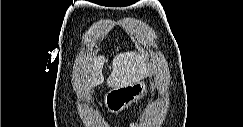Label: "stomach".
Segmentation results:
<instances>
[{
	"label": "stomach",
	"instance_id": "stomach-1",
	"mask_svg": "<svg viewBox=\"0 0 243 127\" xmlns=\"http://www.w3.org/2000/svg\"><path fill=\"white\" fill-rule=\"evenodd\" d=\"M147 91L144 80L128 85L113 87L105 95L104 103L111 113H119L133 102L139 100Z\"/></svg>",
	"mask_w": 243,
	"mask_h": 127
}]
</instances>
